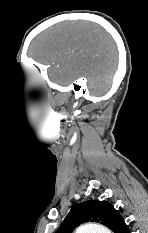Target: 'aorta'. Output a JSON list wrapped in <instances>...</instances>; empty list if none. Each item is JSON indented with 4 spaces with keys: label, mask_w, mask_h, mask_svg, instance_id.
<instances>
[{
    "label": "aorta",
    "mask_w": 148,
    "mask_h": 233,
    "mask_svg": "<svg viewBox=\"0 0 148 233\" xmlns=\"http://www.w3.org/2000/svg\"><path fill=\"white\" fill-rule=\"evenodd\" d=\"M75 233H111L110 230L100 224L97 223H85L80 225Z\"/></svg>",
    "instance_id": "762f6f07"
}]
</instances>
